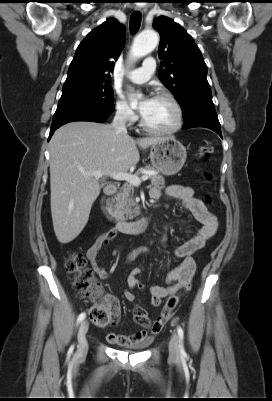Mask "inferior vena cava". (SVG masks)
Here are the masks:
<instances>
[{
	"label": "inferior vena cava",
	"instance_id": "inferior-vena-cava-1",
	"mask_svg": "<svg viewBox=\"0 0 272 401\" xmlns=\"http://www.w3.org/2000/svg\"><path fill=\"white\" fill-rule=\"evenodd\" d=\"M127 118H128L127 111H117V113L115 114L111 126L117 134L128 135L126 129Z\"/></svg>",
	"mask_w": 272,
	"mask_h": 401
}]
</instances>
